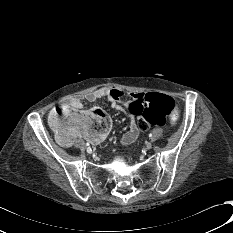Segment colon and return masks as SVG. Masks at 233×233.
I'll use <instances>...</instances> for the list:
<instances>
[{"label":"colon","instance_id":"1","mask_svg":"<svg viewBox=\"0 0 233 233\" xmlns=\"http://www.w3.org/2000/svg\"><path fill=\"white\" fill-rule=\"evenodd\" d=\"M128 114L137 121L138 128L146 131L151 126L175 125L179 120V112L174 100L160 93L141 92L130 98L126 104ZM71 110L66 105L55 108L49 121L55 134H65L71 129H80L89 134L100 133L111 122L110 117L103 110L84 111L74 117L73 125L65 124Z\"/></svg>","mask_w":233,"mask_h":233}]
</instances>
